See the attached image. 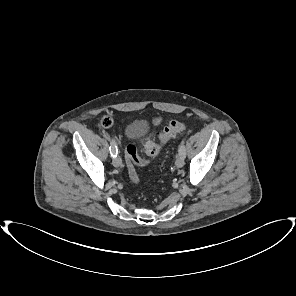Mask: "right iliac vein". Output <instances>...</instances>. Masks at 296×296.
Listing matches in <instances>:
<instances>
[{"label":"right iliac vein","instance_id":"obj_1","mask_svg":"<svg viewBox=\"0 0 296 296\" xmlns=\"http://www.w3.org/2000/svg\"><path fill=\"white\" fill-rule=\"evenodd\" d=\"M113 165L115 167H120L122 165V159L119 156H116L113 160Z\"/></svg>","mask_w":296,"mask_h":296}]
</instances>
